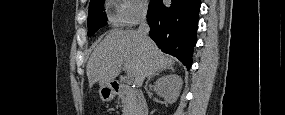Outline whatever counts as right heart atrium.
Listing matches in <instances>:
<instances>
[{
    "instance_id": "d8ad5b80",
    "label": "right heart atrium",
    "mask_w": 285,
    "mask_h": 115,
    "mask_svg": "<svg viewBox=\"0 0 285 115\" xmlns=\"http://www.w3.org/2000/svg\"><path fill=\"white\" fill-rule=\"evenodd\" d=\"M147 11L144 0L115 1V23L119 26H134L141 22Z\"/></svg>"
}]
</instances>
